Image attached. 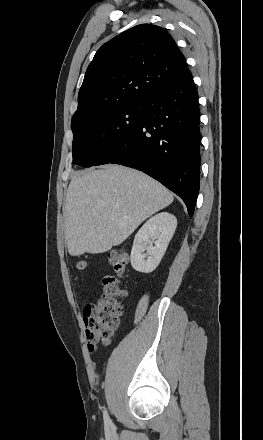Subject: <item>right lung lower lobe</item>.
<instances>
[{"label":"right lung lower lobe","mask_w":263,"mask_h":440,"mask_svg":"<svg viewBox=\"0 0 263 440\" xmlns=\"http://www.w3.org/2000/svg\"><path fill=\"white\" fill-rule=\"evenodd\" d=\"M144 118L108 163L140 170L177 194L194 213L200 182L198 95L191 73L144 101Z\"/></svg>","instance_id":"right-lung-lower-lobe-1"}]
</instances>
